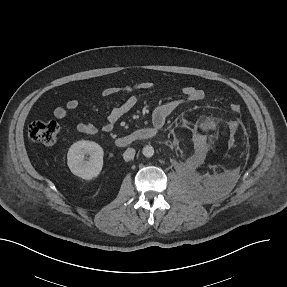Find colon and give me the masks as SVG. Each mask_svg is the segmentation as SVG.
Masks as SVG:
<instances>
[{
	"label": "colon",
	"instance_id": "5ec220e1",
	"mask_svg": "<svg viewBox=\"0 0 287 287\" xmlns=\"http://www.w3.org/2000/svg\"><path fill=\"white\" fill-rule=\"evenodd\" d=\"M232 113L239 114L242 111V104L238 100H233L229 104ZM60 126L54 122L35 121L29 126L28 134L33 142L40 143L44 146H53L56 144L60 135Z\"/></svg>",
	"mask_w": 287,
	"mask_h": 287
}]
</instances>
